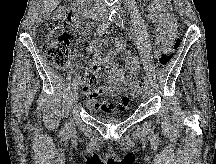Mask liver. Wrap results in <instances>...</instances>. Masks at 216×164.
Returning <instances> with one entry per match:
<instances>
[{
    "mask_svg": "<svg viewBox=\"0 0 216 164\" xmlns=\"http://www.w3.org/2000/svg\"><path fill=\"white\" fill-rule=\"evenodd\" d=\"M61 0H43L44 15L48 16L60 3Z\"/></svg>",
    "mask_w": 216,
    "mask_h": 164,
    "instance_id": "6515ba94",
    "label": "liver"
}]
</instances>
